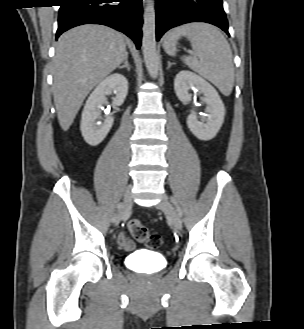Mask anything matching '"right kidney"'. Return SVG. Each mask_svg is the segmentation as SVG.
Instances as JSON below:
<instances>
[{"label":"right kidney","mask_w":304,"mask_h":329,"mask_svg":"<svg viewBox=\"0 0 304 329\" xmlns=\"http://www.w3.org/2000/svg\"><path fill=\"white\" fill-rule=\"evenodd\" d=\"M128 93V81L122 74L114 73L102 80L86 101L82 112L80 129L84 140L97 146L107 136L113 125V117L108 116L103 123L100 119L101 108L107 103V96L114 95L112 104L121 106Z\"/></svg>","instance_id":"ca27d5eb"}]
</instances>
